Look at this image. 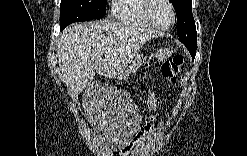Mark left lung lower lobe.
<instances>
[{"mask_svg":"<svg viewBox=\"0 0 247 156\" xmlns=\"http://www.w3.org/2000/svg\"><path fill=\"white\" fill-rule=\"evenodd\" d=\"M191 56H192V59L194 60L195 58V55H196V52H190Z\"/></svg>","mask_w":247,"mask_h":156,"instance_id":"obj_1","label":"left lung lower lobe"}]
</instances>
